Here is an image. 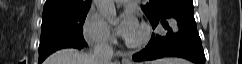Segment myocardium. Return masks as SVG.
Listing matches in <instances>:
<instances>
[{"mask_svg":"<svg viewBox=\"0 0 242 64\" xmlns=\"http://www.w3.org/2000/svg\"><path fill=\"white\" fill-rule=\"evenodd\" d=\"M139 31H140V34L136 40H126L125 43L128 47L139 48L148 42L151 34L150 27L147 24L142 23Z\"/></svg>","mask_w":242,"mask_h":64,"instance_id":"1","label":"myocardium"}]
</instances>
